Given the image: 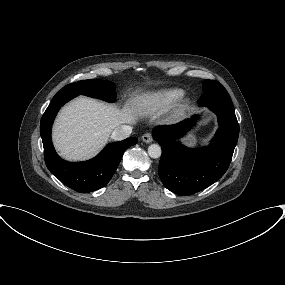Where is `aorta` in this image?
Wrapping results in <instances>:
<instances>
[{
    "label": "aorta",
    "instance_id": "obj_1",
    "mask_svg": "<svg viewBox=\"0 0 285 285\" xmlns=\"http://www.w3.org/2000/svg\"><path fill=\"white\" fill-rule=\"evenodd\" d=\"M161 147L158 144H151L148 147V154L151 158H159L161 156Z\"/></svg>",
    "mask_w": 285,
    "mask_h": 285
}]
</instances>
